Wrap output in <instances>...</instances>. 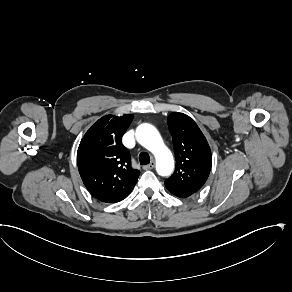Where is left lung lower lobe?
<instances>
[{"label": "left lung lower lobe", "mask_w": 292, "mask_h": 292, "mask_svg": "<svg viewBox=\"0 0 292 292\" xmlns=\"http://www.w3.org/2000/svg\"><path fill=\"white\" fill-rule=\"evenodd\" d=\"M167 189L172 194H174L175 196L180 197V198H187V197L191 196L192 194H194V193L187 192V191L175 190V189H170V188H167Z\"/></svg>", "instance_id": "0a47b994"}]
</instances>
